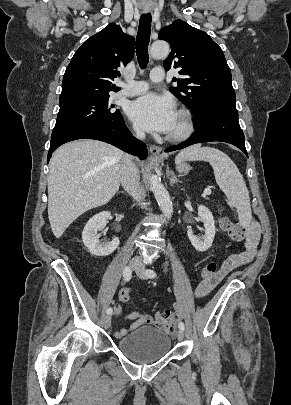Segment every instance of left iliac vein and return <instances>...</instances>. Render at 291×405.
Returning a JSON list of instances; mask_svg holds the SVG:
<instances>
[{
    "label": "left iliac vein",
    "mask_w": 291,
    "mask_h": 405,
    "mask_svg": "<svg viewBox=\"0 0 291 405\" xmlns=\"http://www.w3.org/2000/svg\"><path fill=\"white\" fill-rule=\"evenodd\" d=\"M136 274L141 278V279H146V273H145V267L142 265H139L138 268L135 270ZM177 338L179 341H182L184 339V330L179 329L177 332Z\"/></svg>",
    "instance_id": "4c4485c4"
}]
</instances>
